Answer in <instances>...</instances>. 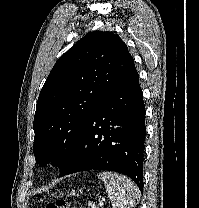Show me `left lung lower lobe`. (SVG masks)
<instances>
[{
  "label": "left lung lower lobe",
  "mask_w": 199,
  "mask_h": 208,
  "mask_svg": "<svg viewBox=\"0 0 199 208\" xmlns=\"http://www.w3.org/2000/svg\"><path fill=\"white\" fill-rule=\"evenodd\" d=\"M145 134L143 94L133 64L90 115L59 176L111 170L131 177L143 192Z\"/></svg>",
  "instance_id": "obj_1"
}]
</instances>
